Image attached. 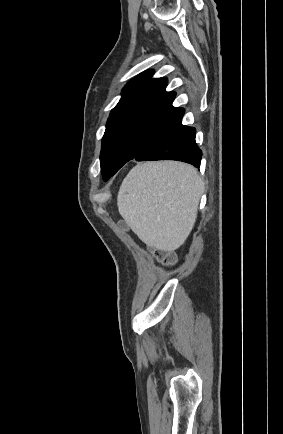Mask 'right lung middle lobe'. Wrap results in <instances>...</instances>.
Returning <instances> with one entry per match:
<instances>
[{"label":"right lung middle lobe","instance_id":"1","mask_svg":"<svg viewBox=\"0 0 283 434\" xmlns=\"http://www.w3.org/2000/svg\"><path fill=\"white\" fill-rule=\"evenodd\" d=\"M175 122L150 115H130L108 120L100 154L104 181Z\"/></svg>","mask_w":283,"mask_h":434}]
</instances>
